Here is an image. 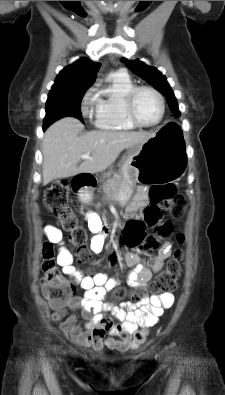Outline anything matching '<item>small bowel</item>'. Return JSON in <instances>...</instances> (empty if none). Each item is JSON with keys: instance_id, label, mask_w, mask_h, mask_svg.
I'll list each match as a JSON object with an SVG mask.
<instances>
[{"instance_id": "obj_1", "label": "small bowel", "mask_w": 225, "mask_h": 395, "mask_svg": "<svg viewBox=\"0 0 225 395\" xmlns=\"http://www.w3.org/2000/svg\"><path fill=\"white\" fill-rule=\"evenodd\" d=\"M147 203V189L140 186L127 207V215L134 217L147 206ZM85 217L90 231L94 233L90 248L93 253L98 254L105 246L102 220L95 212H88ZM44 233L50 242L58 246V266L62 267L64 274L73 277L79 284L74 285V292H83L81 297H75L70 302L71 309L81 310L83 325L77 324L74 316L66 317L64 309L53 308L52 318L60 323L61 330L74 342L93 347L97 351L104 347L118 350L136 349L144 343L149 327L155 325L164 310L173 305V294L144 295L138 305L128 303L118 305L112 301H105L106 293L117 285L118 280L108 277L105 273L84 275L75 267L72 255L67 249L66 237H62L60 229L47 225ZM171 251V243L164 242L148 265H144L137 254L127 253L125 261L131 268L127 282L137 289L146 290L148 282L161 271ZM105 311H110L118 322L106 317Z\"/></svg>"}]
</instances>
